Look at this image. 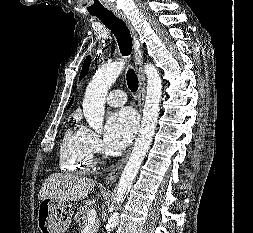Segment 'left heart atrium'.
<instances>
[{
  "label": "left heart atrium",
  "instance_id": "1",
  "mask_svg": "<svg viewBox=\"0 0 253 233\" xmlns=\"http://www.w3.org/2000/svg\"><path fill=\"white\" fill-rule=\"evenodd\" d=\"M137 126L138 119L133 110L124 108L111 113L105 127L107 145L114 150L125 148L134 137Z\"/></svg>",
  "mask_w": 253,
  "mask_h": 233
}]
</instances>
